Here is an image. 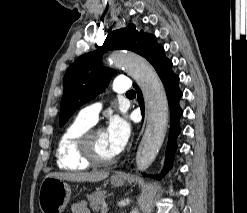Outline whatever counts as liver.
Instances as JSON below:
<instances>
[{
    "label": "liver",
    "mask_w": 247,
    "mask_h": 213,
    "mask_svg": "<svg viewBox=\"0 0 247 213\" xmlns=\"http://www.w3.org/2000/svg\"><path fill=\"white\" fill-rule=\"evenodd\" d=\"M109 176V172L95 171V172H52L46 177H54L60 180H66L71 182H99L106 179Z\"/></svg>",
    "instance_id": "liver-1"
}]
</instances>
